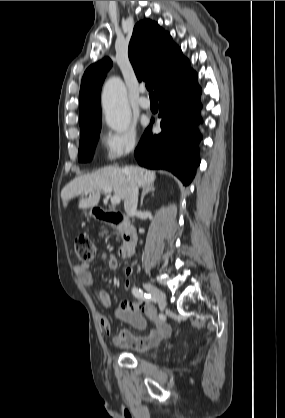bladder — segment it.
Returning a JSON list of instances; mask_svg holds the SVG:
<instances>
[{
	"label": "bladder",
	"instance_id": "1",
	"mask_svg": "<svg viewBox=\"0 0 285 418\" xmlns=\"http://www.w3.org/2000/svg\"><path fill=\"white\" fill-rule=\"evenodd\" d=\"M148 351L145 349H136L131 352V355L134 357H145L147 355Z\"/></svg>",
	"mask_w": 285,
	"mask_h": 418
}]
</instances>
